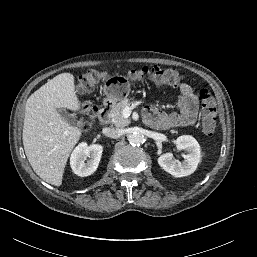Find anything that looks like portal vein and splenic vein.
Instances as JSON below:
<instances>
[{
	"mask_svg": "<svg viewBox=\"0 0 257 257\" xmlns=\"http://www.w3.org/2000/svg\"><path fill=\"white\" fill-rule=\"evenodd\" d=\"M131 114V107L124 108L122 115L124 118H128Z\"/></svg>",
	"mask_w": 257,
	"mask_h": 257,
	"instance_id": "obj_1",
	"label": "portal vein and splenic vein"
}]
</instances>
